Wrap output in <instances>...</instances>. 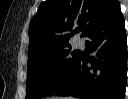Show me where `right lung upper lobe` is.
Instances as JSON below:
<instances>
[{"instance_id": "1", "label": "right lung upper lobe", "mask_w": 128, "mask_h": 99, "mask_svg": "<svg viewBox=\"0 0 128 99\" xmlns=\"http://www.w3.org/2000/svg\"><path fill=\"white\" fill-rule=\"evenodd\" d=\"M117 6L118 0H47L43 2L29 27L28 58L69 45L80 24L81 36L87 33ZM80 27V29H81Z\"/></svg>"}]
</instances>
